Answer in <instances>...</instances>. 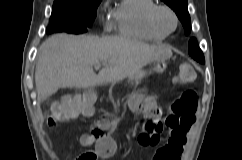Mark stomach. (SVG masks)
I'll return each mask as SVG.
<instances>
[{
	"label": "stomach",
	"mask_w": 242,
	"mask_h": 160,
	"mask_svg": "<svg viewBox=\"0 0 242 160\" xmlns=\"http://www.w3.org/2000/svg\"><path fill=\"white\" fill-rule=\"evenodd\" d=\"M167 67V64L165 61H158L154 68L153 71L157 72V73H163L165 71ZM151 71L149 73L147 72H142L139 75L135 76L134 78L130 79L131 84L134 85H138L139 83H141V81L143 80L144 77H146L147 75H150Z\"/></svg>",
	"instance_id": "obj_1"
}]
</instances>
